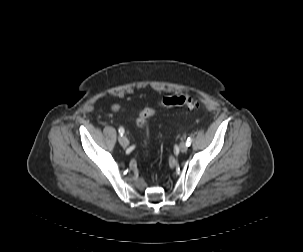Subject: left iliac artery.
<instances>
[{
    "label": "left iliac artery",
    "mask_w": 303,
    "mask_h": 252,
    "mask_svg": "<svg viewBox=\"0 0 303 252\" xmlns=\"http://www.w3.org/2000/svg\"><path fill=\"white\" fill-rule=\"evenodd\" d=\"M191 142H192V140H191V138L189 137V138L187 139V141H186L187 146H190Z\"/></svg>",
    "instance_id": "44dca946"
}]
</instances>
